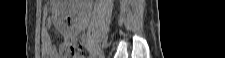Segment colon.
Listing matches in <instances>:
<instances>
[{
  "instance_id": "5ec220e1",
  "label": "colon",
  "mask_w": 225,
  "mask_h": 58,
  "mask_svg": "<svg viewBox=\"0 0 225 58\" xmlns=\"http://www.w3.org/2000/svg\"><path fill=\"white\" fill-rule=\"evenodd\" d=\"M83 54V47L78 42L64 47L62 51L63 58H79Z\"/></svg>"
}]
</instances>
